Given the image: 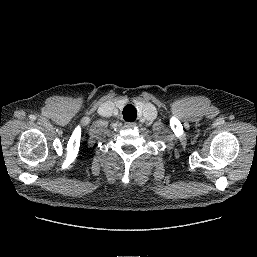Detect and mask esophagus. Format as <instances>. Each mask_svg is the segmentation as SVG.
Listing matches in <instances>:
<instances>
[{
	"label": "esophagus",
	"instance_id": "esophagus-1",
	"mask_svg": "<svg viewBox=\"0 0 257 257\" xmlns=\"http://www.w3.org/2000/svg\"><path fill=\"white\" fill-rule=\"evenodd\" d=\"M136 126V123L135 122H126L125 123V127L127 128H133Z\"/></svg>",
	"mask_w": 257,
	"mask_h": 257
}]
</instances>
